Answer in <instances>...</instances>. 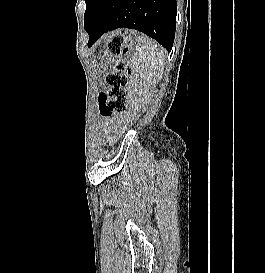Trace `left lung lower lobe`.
Wrapping results in <instances>:
<instances>
[{
  "label": "left lung lower lobe",
  "mask_w": 265,
  "mask_h": 273,
  "mask_svg": "<svg viewBox=\"0 0 265 273\" xmlns=\"http://www.w3.org/2000/svg\"><path fill=\"white\" fill-rule=\"evenodd\" d=\"M87 3L84 25L89 47L105 32L127 27L154 38L168 51L172 49L176 0H88Z\"/></svg>",
  "instance_id": "1"
}]
</instances>
